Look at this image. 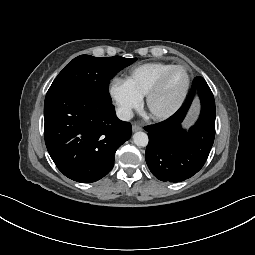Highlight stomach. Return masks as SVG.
<instances>
[{"label": "stomach", "mask_w": 255, "mask_h": 255, "mask_svg": "<svg viewBox=\"0 0 255 255\" xmlns=\"http://www.w3.org/2000/svg\"><path fill=\"white\" fill-rule=\"evenodd\" d=\"M195 111H196V106L194 105L190 114L194 113Z\"/></svg>", "instance_id": "stomach-1"}]
</instances>
